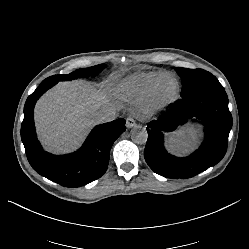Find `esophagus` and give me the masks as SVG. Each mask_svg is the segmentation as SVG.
I'll return each mask as SVG.
<instances>
[{"label":"esophagus","instance_id":"obj_1","mask_svg":"<svg viewBox=\"0 0 249 249\" xmlns=\"http://www.w3.org/2000/svg\"><path fill=\"white\" fill-rule=\"evenodd\" d=\"M135 126H136L135 120L131 116L127 117L126 118V127L130 129V128H133Z\"/></svg>","mask_w":249,"mask_h":249}]
</instances>
